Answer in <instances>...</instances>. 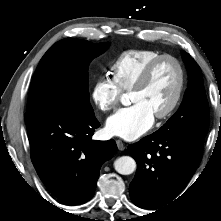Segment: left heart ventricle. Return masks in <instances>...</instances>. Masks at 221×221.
I'll list each match as a JSON object with an SVG mask.
<instances>
[{
  "label": "left heart ventricle",
  "mask_w": 221,
  "mask_h": 221,
  "mask_svg": "<svg viewBox=\"0 0 221 221\" xmlns=\"http://www.w3.org/2000/svg\"><path fill=\"white\" fill-rule=\"evenodd\" d=\"M178 81L176 65L165 61L157 66L145 87L130 93V102L143 104L153 115L161 113L172 101Z\"/></svg>",
  "instance_id": "obj_1"
}]
</instances>
